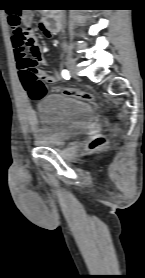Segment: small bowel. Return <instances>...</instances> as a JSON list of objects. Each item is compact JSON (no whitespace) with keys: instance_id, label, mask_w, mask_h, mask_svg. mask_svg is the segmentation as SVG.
<instances>
[{"instance_id":"obj_1","label":"small bowel","mask_w":145,"mask_h":278,"mask_svg":"<svg viewBox=\"0 0 145 278\" xmlns=\"http://www.w3.org/2000/svg\"><path fill=\"white\" fill-rule=\"evenodd\" d=\"M21 19L25 24H30L33 19L31 11L24 10ZM39 26L45 36L52 35V32L45 28L42 23ZM13 46L19 82L30 99L38 100L47 91L46 83L54 82L56 76L50 71L38 72V65L44 62V56L39 42L34 36H30V43L26 46H23L16 37H13ZM64 94L66 93L64 92ZM66 95L78 98L74 95ZM28 123L32 129L36 128L37 122L33 114L30 116Z\"/></svg>"}]
</instances>
